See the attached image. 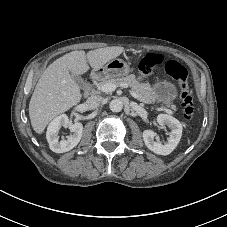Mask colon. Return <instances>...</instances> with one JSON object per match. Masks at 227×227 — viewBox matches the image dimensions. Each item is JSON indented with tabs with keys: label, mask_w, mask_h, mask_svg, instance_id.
Here are the masks:
<instances>
[{
	"label": "colon",
	"mask_w": 227,
	"mask_h": 227,
	"mask_svg": "<svg viewBox=\"0 0 227 227\" xmlns=\"http://www.w3.org/2000/svg\"><path fill=\"white\" fill-rule=\"evenodd\" d=\"M163 63V56L157 53H148L140 61L138 68L142 76L151 75ZM166 73L177 83L179 88L180 105L183 117L186 120L193 118L195 107L192 89L188 81L187 69L175 60H169L164 65Z\"/></svg>",
	"instance_id": "colon-1"
}]
</instances>
